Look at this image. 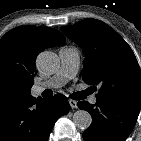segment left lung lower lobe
I'll return each mask as SVG.
<instances>
[{
	"mask_svg": "<svg viewBox=\"0 0 141 141\" xmlns=\"http://www.w3.org/2000/svg\"><path fill=\"white\" fill-rule=\"evenodd\" d=\"M92 115V124L83 133L85 141H125L133 130L141 105L120 104L97 99L96 104L77 103Z\"/></svg>",
	"mask_w": 141,
	"mask_h": 141,
	"instance_id": "left-lung-lower-lobe-1",
	"label": "left lung lower lobe"
}]
</instances>
